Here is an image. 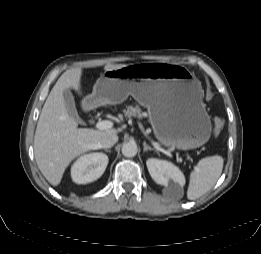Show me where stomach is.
I'll list each match as a JSON object with an SVG mask.
<instances>
[{"label": "stomach", "instance_id": "stomach-1", "mask_svg": "<svg viewBox=\"0 0 261 254\" xmlns=\"http://www.w3.org/2000/svg\"><path fill=\"white\" fill-rule=\"evenodd\" d=\"M131 95L148 110L158 142L167 148L194 149L211 135L200 82L184 65L139 63L105 71L85 98L91 106L116 105Z\"/></svg>", "mask_w": 261, "mask_h": 254}]
</instances>
